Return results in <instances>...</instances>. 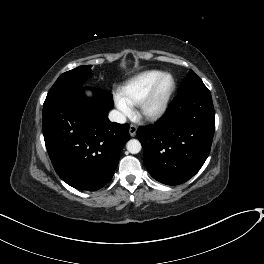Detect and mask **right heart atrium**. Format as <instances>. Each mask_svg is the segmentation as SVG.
<instances>
[{"label":"right heart atrium","instance_id":"1","mask_svg":"<svg viewBox=\"0 0 264 264\" xmlns=\"http://www.w3.org/2000/svg\"><path fill=\"white\" fill-rule=\"evenodd\" d=\"M114 100L121 117H128L132 115L133 106L129 104L119 93L115 94Z\"/></svg>","mask_w":264,"mask_h":264}]
</instances>
